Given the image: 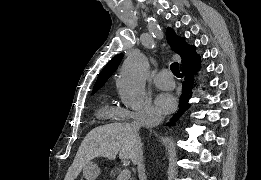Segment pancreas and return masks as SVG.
<instances>
[{"instance_id": "pancreas-1", "label": "pancreas", "mask_w": 261, "mask_h": 180, "mask_svg": "<svg viewBox=\"0 0 261 180\" xmlns=\"http://www.w3.org/2000/svg\"><path fill=\"white\" fill-rule=\"evenodd\" d=\"M106 175L111 176V178H115V176L121 175V170H120V168L111 169L110 171L106 172Z\"/></svg>"}]
</instances>
